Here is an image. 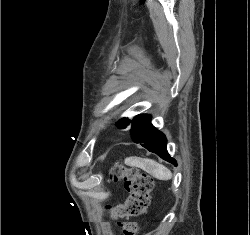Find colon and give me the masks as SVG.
Masks as SVG:
<instances>
[{
  "instance_id": "colon-1",
  "label": "colon",
  "mask_w": 250,
  "mask_h": 235,
  "mask_svg": "<svg viewBox=\"0 0 250 235\" xmlns=\"http://www.w3.org/2000/svg\"><path fill=\"white\" fill-rule=\"evenodd\" d=\"M109 180L114 182L122 180L128 193L124 204L107 208L110 215L117 219L123 235H137L139 231L138 224L131 218L137 217L146 211L153 188L152 178L138 168L116 163L110 169Z\"/></svg>"
}]
</instances>
